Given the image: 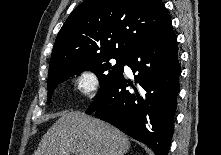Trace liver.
<instances>
[{"mask_svg": "<svg viewBox=\"0 0 221 155\" xmlns=\"http://www.w3.org/2000/svg\"><path fill=\"white\" fill-rule=\"evenodd\" d=\"M128 137L82 112L63 114L41 139L34 155H124Z\"/></svg>", "mask_w": 221, "mask_h": 155, "instance_id": "liver-1", "label": "liver"}]
</instances>
